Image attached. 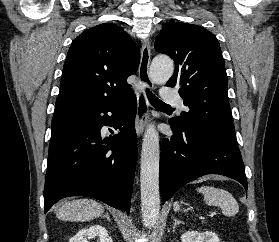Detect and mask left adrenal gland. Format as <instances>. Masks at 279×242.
Masks as SVG:
<instances>
[{
  "instance_id": "left-adrenal-gland-1",
  "label": "left adrenal gland",
  "mask_w": 279,
  "mask_h": 242,
  "mask_svg": "<svg viewBox=\"0 0 279 242\" xmlns=\"http://www.w3.org/2000/svg\"><path fill=\"white\" fill-rule=\"evenodd\" d=\"M172 218L174 220L173 229L176 228V226L179 225V224H185L183 221H180V220L176 219L174 216Z\"/></svg>"
}]
</instances>
